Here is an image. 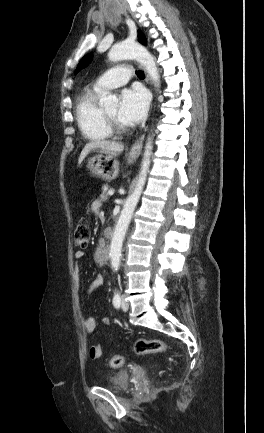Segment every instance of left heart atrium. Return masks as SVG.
I'll list each match as a JSON object with an SVG mask.
<instances>
[{"label": "left heart atrium", "instance_id": "left-heart-atrium-1", "mask_svg": "<svg viewBox=\"0 0 264 433\" xmlns=\"http://www.w3.org/2000/svg\"><path fill=\"white\" fill-rule=\"evenodd\" d=\"M149 97L141 88L126 89L121 93L118 119L126 125L141 122L147 112Z\"/></svg>", "mask_w": 264, "mask_h": 433}]
</instances>
